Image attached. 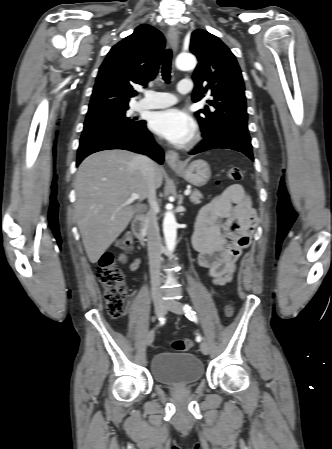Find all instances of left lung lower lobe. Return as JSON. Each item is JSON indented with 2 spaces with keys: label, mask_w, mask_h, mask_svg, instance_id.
<instances>
[{
  "label": "left lung lower lobe",
  "mask_w": 332,
  "mask_h": 449,
  "mask_svg": "<svg viewBox=\"0 0 332 449\" xmlns=\"http://www.w3.org/2000/svg\"><path fill=\"white\" fill-rule=\"evenodd\" d=\"M215 148L236 150L254 160L247 126L231 125L223 127L215 133L204 137L201 146L190 154L193 155Z\"/></svg>",
  "instance_id": "left-lung-lower-lobe-1"
}]
</instances>
